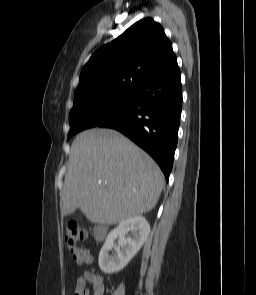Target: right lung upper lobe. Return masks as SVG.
<instances>
[{
    "label": "right lung upper lobe",
    "mask_w": 256,
    "mask_h": 295,
    "mask_svg": "<svg viewBox=\"0 0 256 295\" xmlns=\"http://www.w3.org/2000/svg\"><path fill=\"white\" fill-rule=\"evenodd\" d=\"M174 56L162 26L152 18H144L91 56L81 71L75 100L135 92Z\"/></svg>",
    "instance_id": "cb5924a9"
}]
</instances>
